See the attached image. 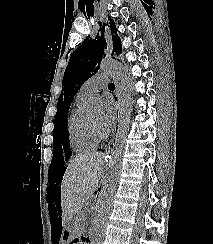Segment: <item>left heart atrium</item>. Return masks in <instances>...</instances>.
<instances>
[{
  "label": "left heart atrium",
  "mask_w": 213,
  "mask_h": 244,
  "mask_svg": "<svg viewBox=\"0 0 213 244\" xmlns=\"http://www.w3.org/2000/svg\"><path fill=\"white\" fill-rule=\"evenodd\" d=\"M117 107L111 98H107L104 103V115L101 120V129L103 131H110L114 126L116 119Z\"/></svg>",
  "instance_id": "1"
}]
</instances>
